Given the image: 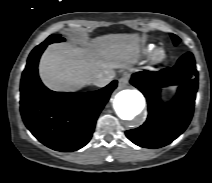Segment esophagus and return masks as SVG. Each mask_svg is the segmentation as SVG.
Wrapping results in <instances>:
<instances>
[{"instance_id": "1", "label": "esophagus", "mask_w": 212, "mask_h": 183, "mask_svg": "<svg viewBox=\"0 0 212 183\" xmlns=\"http://www.w3.org/2000/svg\"><path fill=\"white\" fill-rule=\"evenodd\" d=\"M128 82H129L128 76H123V77H121V78L119 79L118 87H119L120 89H123V88H125V87L127 86Z\"/></svg>"}]
</instances>
